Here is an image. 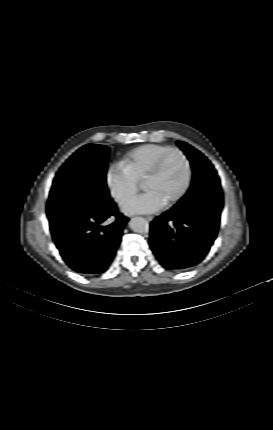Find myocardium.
<instances>
[{"label": "myocardium", "mask_w": 273, "mask_h": 430, "mask_svg": "<svg viewBox=\"0 0 273 430\" xmlns=\"http://www.w3.org/2000/svg\"><path fill=\"white\" fill-rule=\"evenodd\" d=\"M172 154L179 155L181 157V159L183 160V162L185 164V168H186V178H185V182H184L182 188L180 189V191L169 202L166 203V207H171V206L175 205L176 203H178L184 197V195L187 193V191L190 187L191 180H192V168H191L190 161H189L188 157L186 156V154L182 150H180L179 148L171 147L170 149L165 151L159 157V159L155 163L154 167L151 169V171L148 173V175L144 179V183H145L151 179L158 177L161 174L168 157Z\"/></svg>", "instance_id": "myocardium-1"}]
</instances>
